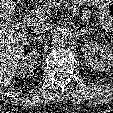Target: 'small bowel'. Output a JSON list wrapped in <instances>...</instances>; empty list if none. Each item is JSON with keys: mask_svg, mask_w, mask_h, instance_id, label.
<instances>
[{"mask_svg": "<svg viewBox=\"0 0 113 113\" xmlns=\"http://www.w3.org/2000/svg\"><path fill=\"white\" fill-rule=\"evenodd\" d=\"M73 1L78 4H87L89 6H97L102 3V0H73ZM90 17H91V10L87 8L83 11L82 18L87 21L90 19ZM112 23H113V20L108 19L109 26H112Z\"/></svg>", "mask_w": 113, "mask_h": 113, "instance_id": "c3829d8e", "label": "small bowel"}]
</instances>
